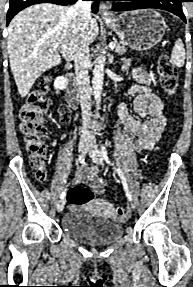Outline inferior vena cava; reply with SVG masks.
<instances>
[{
    "label": "inferior vena cava",
    "mask_w": 193,
    "mask_h": 287,
    "mask_svg": "<svg viewBox=\"0 0 193 287\" xmlns=\"http://www.w3.org/2000/svg\"><path fill=\"white\" fill-rule=\"evenodd\" d=\"M92 1L78 0L76 4L70 7V12L78 18L81 30L80 41L74 56V67L76 75V83L79 87L80 104L82 109V135L84 140H91L94 134L90 129L91 124V87L88 76V68L90 65V53L88 37L86 29L91 20Z\"/></svg>",
    "instance_id": "1"
}]
</instances>
